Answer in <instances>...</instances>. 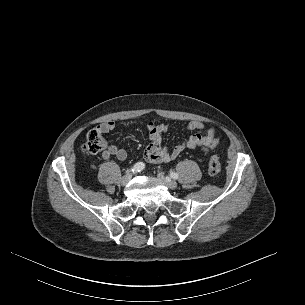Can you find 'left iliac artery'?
Wrapping results in <instances>:
<instances>
[{
	"mask_svg": "<svg viewBox=\"0 0 305 305\" xmlns=\"http://www.w3.org/2000/svg\"><path fill=\"white\" fill-rule=\"evenodd\" d=\"M170 176H171L173 179H177V178H178V174L175 173V172H170Z\"/></svg>",
	"mask_w": 305,
	"mask_h": 305,
	"instance_id": "left-iliac-artery-1",
	"label": "left iliac artery"
}]
</instances>
